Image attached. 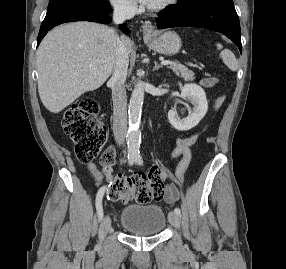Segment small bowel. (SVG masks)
Returning a JSON list of instances; mask_svg holds the SVG:
<instances>
[{"mask_svg":"<svg viewBox=\"0 0 286 269\" xmlns=\"http://www.w3.org/2000/svg\"><path fill=\"white\" fill-rule=\"evenodd\" d=\"M202 84L211 87L210 86L211 83H202ZM217 106L218 104L216 103L215 107ZM196 139H197L196 133L177 139L176 146L171 153L172 158L180 157L181 159L175 170V178L177 183L169 184L167 186L166 193L163 197L165 202L169 204L175 203L179 197L178 185L184 181V173L192 161L191 147L195 143ZM87 168L98 183H102L104 180H106L109 183L115 178V175L113 174L112 165H102V169L99 170L94 163H88ZM162 173H163V180H165L168 177V172L165 169H162Z\"/></svg>","mask_w":286,"mask_h":269,"instance_id":"1","label":"small bowel"}]
</instances>
